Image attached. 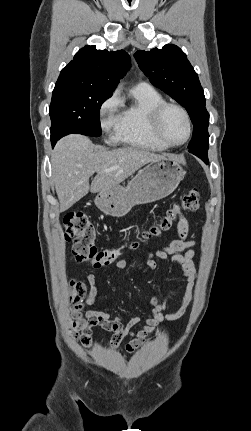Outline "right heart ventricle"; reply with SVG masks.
<instances>
[{
    "label": "right heart ventricle",
    "mask_w": 251,
    "mask_h": 431,
    "mask_svg": "<svg viewBox=\"0 0 251 431\" xmlns=\"http://www.w3.org/2000/svg\"><path fill=\"white\" fill-rule=\"evenodd\" d=\"M131 94L133 101L124 106L118 115L114 138L136 148L166 150L168 147L160 143L150 129V113L164 101L163 97L152 87H134Z\"/></svg>",
    "instance_id": "1"
}]
</instances>
